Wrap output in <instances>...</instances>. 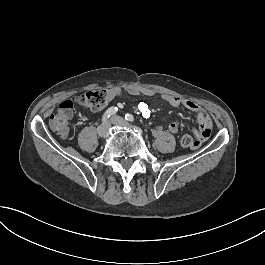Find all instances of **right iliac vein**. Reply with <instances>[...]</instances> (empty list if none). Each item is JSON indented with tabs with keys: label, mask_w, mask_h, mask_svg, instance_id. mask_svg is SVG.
Segmentation results:
<instances>
[{
	"label": "right iliac vein",
	"mask_w": 265,
	"mask_h": 265,
	"mask_svg": "<svg viewBox=\"0 0 265 265\" xmlns=\"http://www.w3.org/2000/svg\"><path fill=\"white\" fill-rule=\"evenodd\" d=\"M97 131H98V135L100 137L108 136V133H109V122H105L104 124L99 125L98 128H97Z\"/></svg>",
	"instance_id": "1"
}]
</instances>
